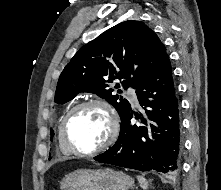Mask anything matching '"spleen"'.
<instances>
[{
    "label": "spleen",
    "instance_id": "spleen-1",
    "mask_svg": "<svg viewBox=\"0 0 221 190\" xmlns=\"http://www.w3.org/2000/svg\"><path fill=\"white\" fill-rule=\"evenodd\" d=\"M137 179H138L140 186L145 190L148 187L147 180L142 176H137Z\"/></svg>",
    "mask_w": 221,
    "mask_h": 190
}]
</instances>
